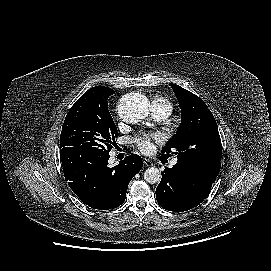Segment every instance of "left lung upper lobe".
Listing matches in <instances>:
<instances>
[{
    "label": "left lung upper lobe",
    "instance_id": "1",
    "mask_svg": "<svg viewBox=\"0 0 271 271\" xmlns=\"http://www.w3.org/2000/svg\"><path fill=\"white\" fill-rule=\"evenodd\" d=\"M178 99L182 120L162 152L178 154V165L210 181L221 167V139L216 120L204 101L176 84H170Z\"/></svg>",
    "mask_w": 271,
    "mask_h": 271
}]
</instances>
